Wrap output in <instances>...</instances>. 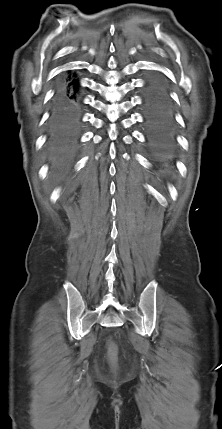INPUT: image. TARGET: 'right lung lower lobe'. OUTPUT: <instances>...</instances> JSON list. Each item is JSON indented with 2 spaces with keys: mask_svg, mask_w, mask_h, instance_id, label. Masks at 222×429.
<instances>
[{
  "mask_svg": "<svg viewBox=\"0 0 222 429\" xmlns=\"http://www.w3.org/2000/svg\"><path fill=\"white\" fill-rule=\"evenodd\" d=\"M79 82L68 72L55 81L51 104V126L72 135L80 126Z\"/></svg>",
  "mask_w": 222,
  "mask_h": 429,
  "instance_id": "98d812e1",
  "label": "right lung lower lobe"
}]
</instances>
